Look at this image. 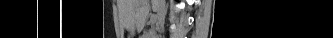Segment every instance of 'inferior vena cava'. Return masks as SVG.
<instances>
[{"mask_svg": "<svg viewBox=\"0 0 333 38\" xmlns=\"http://www.w3.org/2000/svg\"><path fill=\"white\" fill-rule=\"evenodd\" d=\"M165 19V0L158 1V21L159 25L163 26Z\"/></svg>", "mask_w": 333, "mask_h": 38, "instance_id": "602c4592", "label": "inferior vena cava"}]
</instances>
